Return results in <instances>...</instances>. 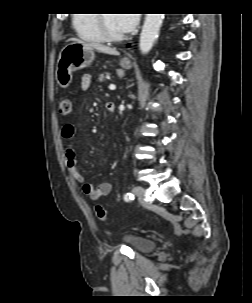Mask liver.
Wrapping results in <instances>:
<instances>
[{"mask_svg": "<svg viewBox=\"0 0 252 303\" xmlns=\"http://www.w3.org/2000/svg\"><path fill=\"white\" fill-rule=\"evenodd\" d=\"M68 41L86 44L87 46H89L93 49H96L97 51H99L101 53H105V54H109V55H119L118 51L115 48H111V47L105 46L100 43H86V42L81 41L76 38H71Z\"/></svg>", "mask_w": 252, "mask_h": 303, "instance_id": "1", "label": "liver"}]
</instances>
